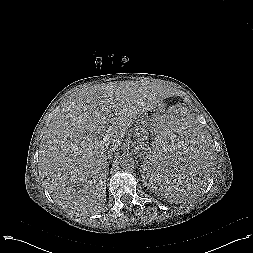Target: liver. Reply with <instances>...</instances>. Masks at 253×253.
<instances>
[{"label":"liver","instance_id":"1","mask_svg":"<svg viewBox=\"0 0 253 253\" xmlns=\"http://www.w3.org/2000/svg\"><path fill=\"white\" fill-rule=\"evenodd\" d=\"M162 88L133 81L98 84L71 97L42 142L39 174L60 206L96 212L106 201L107 151L158 102Z\"/></svg>","mask_w":253,"mask_h":253}]
</instances>
